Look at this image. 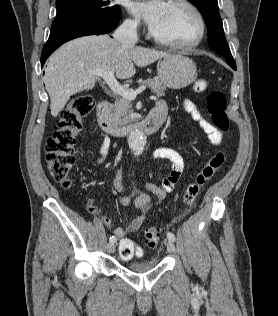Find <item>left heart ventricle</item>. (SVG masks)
Wrapping results in <instances>:
<instances>
[{
  "instance_id": "obj_1",
  "label": "left heart ventricle",
  "mask_w": 278,
  "mask_h": 316,
  "mask_svg": "<svg viewBox=\"0 0 278 316\" xmlns=\"http://www.w3.org/2000/svg\"><path fill=\"white\" fill-rule=\"evenodd\" d=\"M152 32L163 40L183 43L195 37L197 24L186 8L168 3L162 20Z\"/></svg>"
}]
</instances>
